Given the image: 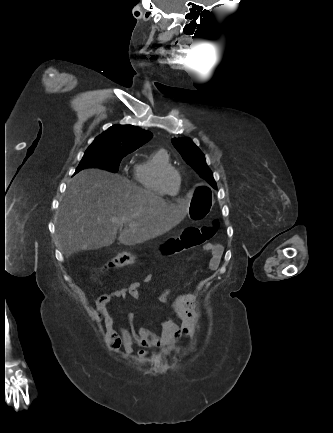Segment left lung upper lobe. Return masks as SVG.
Segmentation results:
<instances>
[{
  "label": "left lung upper lobe",
  "instance_id": "1",
  "mask_svg": "<svg viewBox=\"0 0 333 433\" xmlns=\"http://www.w3.org/2000/svg\"><path fill=\"white\" fill-rule=\"evenodd\" d=\"M172 143L183 159L211 186L216 187L212 172L207 167L200 149L188 138L173 139Z\"/></svg>",
  "mask_w": 333,
  "mask_h": 433
}]
</instances>
